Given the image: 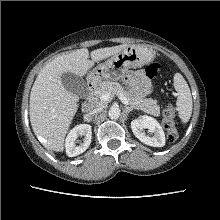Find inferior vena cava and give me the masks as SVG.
<instances>
[{
	"mask_svg": "<svg viewBox=\"0 0 220 220\" xmlns=\"http://www.w3.org/2000/svg\"><path fill=\"white\" fill-rule=\"evenodd\" d=\"M101 111H102V108H95V109L91 110L87 115H85V118L89 119Z\"/></svg>",
	"mask_w": 220,
	"mask_h": 220,
	"instance_id": "602c4592",
	"label": "inferior vena cava"
}]
</instances>
